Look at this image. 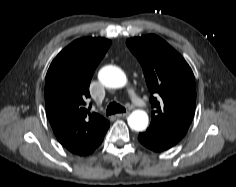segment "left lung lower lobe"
<instances>
[{
  "label": "left lung lower lobe",
  "mask_w": 236,
  "mask_h": 187,
  "mask_svg": "<svg viewBox=\"0 0 236 187\" xmlns=\"http://www.w3.org/2000/svg\"><path fill=\"white\" fill-rule=\"evenodd\" d=\"M138 140L145 147L155 152L167 150L178 143L159 135L147 132L139 133Z\"/></svg>",
  "instance_id": "left-lung-lower-lobe-1"
}]
</instances>
